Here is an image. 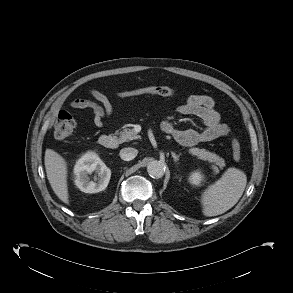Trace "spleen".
Listing matches in <instances>:
<instances>
[{"mask_svg":"<svg viewBox=\"0 0 293 293\" xmlns=\"http://www.w3.org/2000/svg\"><path fill=\"white\" fill-rule=\"evenodd\" d=\"M246 184L247 176L242 170L228 168L220 179L202 193L203 214L217 216L231 209L243 195Z\"/></svg>","mask_w":293,"mask_h":293,"instance_id":"spleen-1","label":"spleen"}]
</instances>
